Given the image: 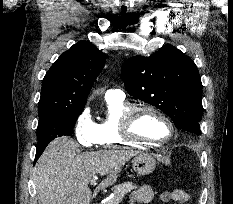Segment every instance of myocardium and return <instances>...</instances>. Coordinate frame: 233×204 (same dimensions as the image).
<instances>
[{"instance_id":"1","label":"myocardium","mask_w":233,"mask_h":204,"mask_svg":"<svg viewBox=\"0 0 233 204\" xmlns=\"http://www.w3.org/2000/svg\"><path fill=\"white\" fill-rule=\"evenodd\" d=\"M144 111H148V112H152L156 114L166 123L169 133L165 139L156 141V140H151V139L140 137L134 133L133 125H134L135 118L140 112H144ZM121 134L124 139L130 142H133V143H138V144H143V145H148V146H160L172 140L175 134V128H174V125L171 119L161 109H159L158 107L154 105L141 104V105L131 106L123 114L122 119H121Z\"/></svg>"}]
</instances>
